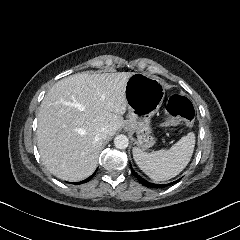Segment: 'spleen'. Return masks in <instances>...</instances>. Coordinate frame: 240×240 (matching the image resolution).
Masks as SVG:
<instances>
[{
	"label": "spleen",
	"instance_id": "obj_1",
	"mask_svg": "<svg viewBox=\"0 0 240 240\" xmlns=\"http://www.w3.org/2000/svg\"><path fill=\"white\" fill-rule=\"evenodd\" d=\"M196 146V134L189 132L170 149L147 153L133 148V158L146 175L155 182H165L178 176L190 163Z\"/></svg>",
	"mask_w": 240,
	"mask_h": 240
}]
</instances>
